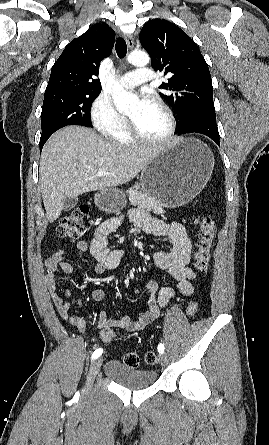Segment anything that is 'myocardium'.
<instances>
[{"mask_svg":"<svg viewBox=\"0 0 269 445\" xmlns=\"http://www.w3.org/2000/svg\"><path fill=\"white\" fill-rule=\"evenodd\" d=\"M150 102L154 103L155 105L160 107L163 110V112L165 113V115L167 116L169 125H168V130L165 133V135L160 138H156V139H151V138H147V137L143 136L130 117L128 118V127H129L131 135L135 141H137L141 144H146V145H154V146L164 145V144L168 143L173 138V136L176 132V125H177L176 118H175V115H174L172 109L160 98H156V97L152 98L150 100Z\"/></svg>","mask_w":269,"mask_h":445,"instance_id":"myocardium-1","label":"myocardium"}]
</instances>
